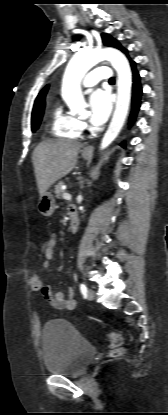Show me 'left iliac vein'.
Returning <instances> with one entry per match:
<instances>
[{
  "mask_svg": "<svg viewBox=\"0 0 168 415\" xmlns=\"http://www.w3.org/2000/svg\"><path fill=\"white\" fill-rule=\"evenodd\" d=\"M95 297V291L93 289H88L87 291V298L89 300H93Z\"/></svg>",
  "mask_w": 168,
  "mask_h": 415,
  "instance_id": "1",
  "label": "left iliac vein"
}]
</instances>
